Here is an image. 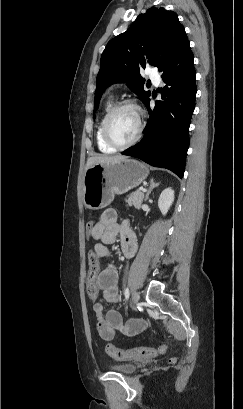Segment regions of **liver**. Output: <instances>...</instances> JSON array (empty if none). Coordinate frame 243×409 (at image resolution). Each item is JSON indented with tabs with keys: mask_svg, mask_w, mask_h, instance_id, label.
I'll return each mask as SVG.
<instances>
[{
	"mask_svg": "<svg viewBox=\"0 0 243 409\" xmlns=\"http://www.w3.org/2000/svg\"><path fill=\"white\" fill-rule=\"evenodd\" d=\"M124 158H126V157L122 156V155H116V156L97 155V156H93V157H90L87 160L86 169H88L89 167H91V166H93L95 164H109V163H113V162H116V161L124 159Z\"/></svg>",
	"mask_w": 243,
	"mask_h": 409,
	"instance_id": "liver-1",
	"label": "liver"
}]
</instances>
